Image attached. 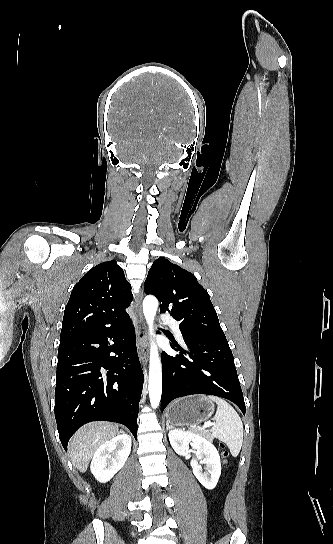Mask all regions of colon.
Here are the masks:
<instances>
[{
  "label": "colon",
  "instance_id": "obj_1",
  "mask_svg": "<svg viewBox=\"0 0 333 544\" xmlns=\"http://www.w3.org/2000/svg\"><path fill=\"white\" fill-rule=\"evenodd\" d=\"M219 448L221 450V456L223 458V461L225 462V459H226V457L228 455V453H227V451L225 449V445L221 443V444H219Z\"/></svg>",
  "mask_w": 333,
  "mask_h": 544
}]
</instances>
